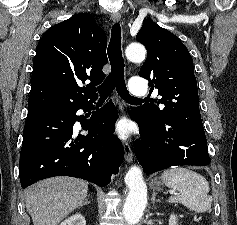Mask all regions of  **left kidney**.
<instances>
[{"instance_id":"obj_1","label":"left kidney","mask_w":237,"mask_h":225,"mask_svg":"<svg viewBox=\"0 0 237 225\" xmlns=\"http://www.w3.org/2000/svg\"><path fill=\"white\" fill-rule=\"evenodd\" d=\"M169 225H178V218L176 215H174V214L170 215Z\"/></svg>"}]
</instances>
